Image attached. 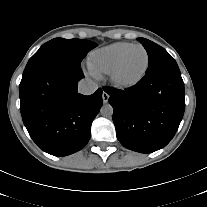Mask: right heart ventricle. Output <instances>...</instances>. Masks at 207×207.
<instances>
[{
    "mask_svg": "<svg viewBox=\"0 0 207 207\" xmlns=\"http://www.w3.org/2000/svg\"><path fill=\"white\" fill-rule=\"evenodd\" d=\"M130 42H117L92 52L88 58L91 72L100 77L109 74L120 56L131 46Z\"/></svg>",
    "mask_w": 207,
    "mask_h": 207,
    "instance_id": "obj_1",
    "label": "right heart ventricle"
}]
</instances>
